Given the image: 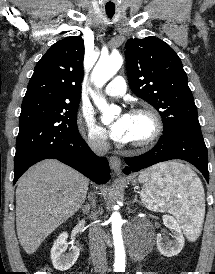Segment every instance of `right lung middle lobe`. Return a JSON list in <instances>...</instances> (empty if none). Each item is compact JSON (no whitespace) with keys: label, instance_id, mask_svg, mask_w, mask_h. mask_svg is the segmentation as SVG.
I'll return each mask as SVG.
<instances>
[{"label":"right lung middle lobe","instance_id":"1","mask_svg":"<svg viewBox=\"0 0 215 274\" xmlns=\"http://www.w3.org/2000/svg\"><path fill=\"white\" fill-rule=\"evenodd\" d=\"M78 103L36 100L22 104L15 166L44 146L79 134L76 123Z\"/></svg>","mask_w":215,"mask_h":274}]
</instances>
